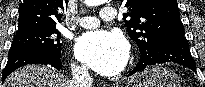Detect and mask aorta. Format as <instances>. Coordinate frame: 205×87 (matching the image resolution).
<instances>
[{"mask_svg": "<svg viewBox=\"0 0 205 87\" xmlns=\"http://www.w3.org/2000/svg\"><path fill=\"white\" fill-rule=\"evenodd\" d=\"M106 0H85L87 6L93 7L105 3Z\"/></svg>", "mask_w": 205, "mask_h": 87, "instance_id": "aorta-1", "label": "aorta"}]
</instances>
